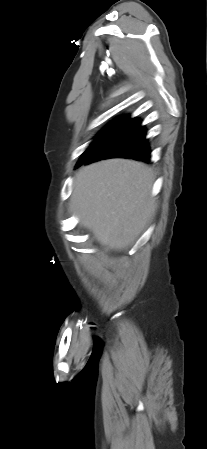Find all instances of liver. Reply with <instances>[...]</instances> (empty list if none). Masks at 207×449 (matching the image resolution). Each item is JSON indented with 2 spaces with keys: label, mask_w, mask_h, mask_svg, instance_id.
<instances>
[{
  "label": "liver",
  "mask_w": 207,
  "mask_h": 449,
  "mask_svg": "<svg viewBox=\"0 0 207 449\" xmlns=\"http://www.w3.org/2000/svg\"><path fill=\"white\" fill-rule=\"evenodd\" d=\"M152 185V171L144 163H93L76 173L69 209L100 245L122 250L139 237L155 210Z\"/></svg>",
  "instance_id": "1"
}]
</instances>
